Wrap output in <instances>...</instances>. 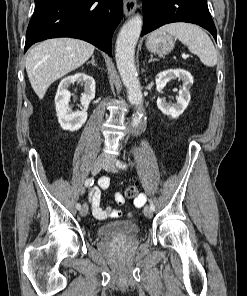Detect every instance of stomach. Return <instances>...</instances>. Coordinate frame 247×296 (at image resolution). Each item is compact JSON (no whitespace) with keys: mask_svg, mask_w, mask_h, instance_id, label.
<instances>
[{"mask_svg":"<svg viewBox=\"0 0 247 296\" xmlns=\"http://www.w3.org/2000/svg\"><path fill=\"white\" fill-rule=\"evenodd\" d=\"M175 45L173 37L164 31H154L146 40L147 49L158 55H166L170 53Z\"/></svg>","mask_w":247,"mask_h":296,"instance_id":"1","label":"stomach"}]
</instances>
